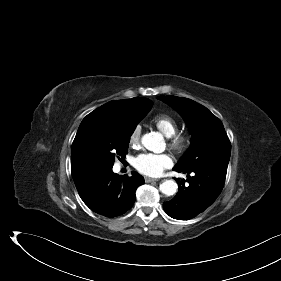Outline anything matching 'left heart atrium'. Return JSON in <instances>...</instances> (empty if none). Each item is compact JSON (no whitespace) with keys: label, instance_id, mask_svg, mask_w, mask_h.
Returning a JSON list of instances; mask_svg holds the SVG:
<instances>
[{"label":"left heart atrium","instance_id":"1","mask_svg":"<svg viewBox=\"0 0 281 281\" xmlns=\"http://www.w3.org/2000/svg\"><path fill=\"white\" fill-rule=\"evenodd\" d=\"M134 166L140 173L156 177L172 166V159L167 154L143 153L136 157Z\"/></svg>","mask_w":281,"mask_h":281}]
</instances>
